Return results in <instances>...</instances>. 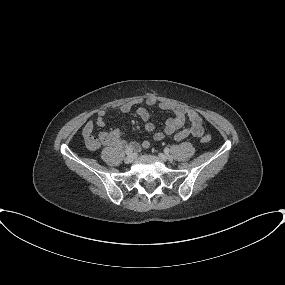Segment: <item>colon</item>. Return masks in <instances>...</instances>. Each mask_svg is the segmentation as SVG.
<instances>
[{"mask_svg": "<svg viewBox=\"0 0 285 285\" xmlns=\"http://www.w3.org/2000/svg\"><path fill=\"white\" fill-rule=\"evenodd\" d=\"M211 141V137L209 135H205L203 138H202V142L203 143H209Z\"/></svg>", "mask_w": 285, "mask_h": 285, "instance_id": "5ec220e1", "label": "colon"}]
</instances>
